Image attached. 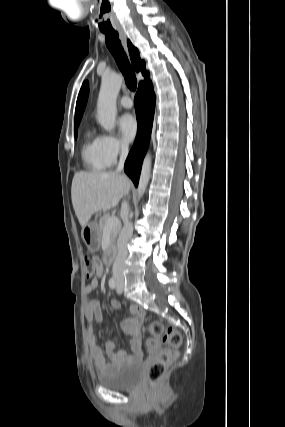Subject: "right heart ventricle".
<instances>
[{"label": "right heart ventricle", "mask_w": 285, "mask_h": 427, "mask_svg": "<svg viewBox=\"0 0 285 427\" xmlns=\"http://www.w3.org/2000/svg\"><path fill=\"white\" fill-rule=\"evenodd\" d=\"M81 157L84 166L91 171H101L109 166L101 148L100 137L91 130L85 132Z\"/></svg>", "instance_id": "1"}]
</instances>
